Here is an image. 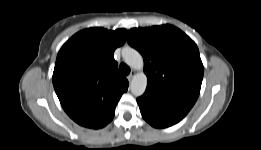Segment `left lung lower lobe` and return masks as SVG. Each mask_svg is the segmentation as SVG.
I'll return each mask as SVG.
<instances>
[{
	"label": "left lung lower lobe",
	"instance_id": "obj_1",
	"mask_svg": "<svg viewBox=\"0 0 261 150\" xmlns=\"http://www.w3.org/2000/svg\"><path fill=\"white\" fill-rule=\"evenodd\" d=\"M143 118L156 128H165L176 124L191 109L167 99L143 95L137 98Z\"/></svg>",
	"mask_w": 261,
	"mask_h": 150
}]
</instances>
